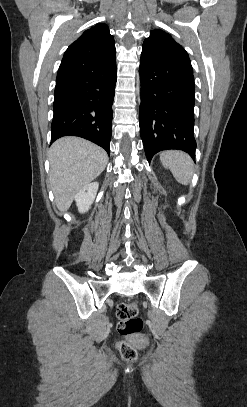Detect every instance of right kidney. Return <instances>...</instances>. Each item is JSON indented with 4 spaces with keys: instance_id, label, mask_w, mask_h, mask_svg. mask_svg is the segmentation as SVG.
Returning <instances> with one entry per match:
<instances>
[{
    "instance_id": "obj_1",
    "label": "right kidney",
    "mask_w": 247,
    "mask_h": 407,
    "mask_svg": "<svg viewBox=\"0 0 247 407\" xmlns=\"http://www.w3.org/2000/svg\"><path fill=\"white\" fill-rule=\"evenodd\" d=\"M99 188L98 182L90 183L84 186L75 196V202L80 213L87 212L97 194Z\"/></svg>"
}]
</instances>
